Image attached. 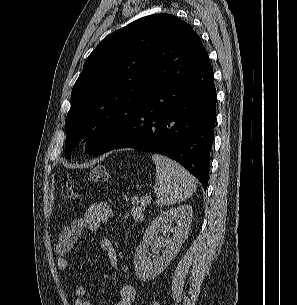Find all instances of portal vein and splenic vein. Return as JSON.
<instances>
[{
	"label": "portal vein and splenic vein",
	"instance_id": "1",
	"mask_svg": "<svg viewBox=\"0 0 297 305\" xmlns=\"http://www.w3.org/2000/svg\"><path fill=\"white\" fill-rule=\"evenodd\" d=\"M151 199V196H146L145 197V202H148Z\"/></svg>",
	"mask_w": 297,
	"mask_h": 305
}]
</instances>
